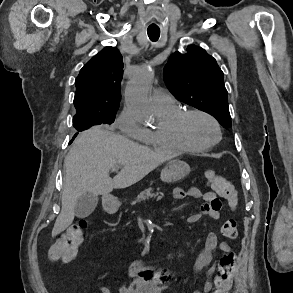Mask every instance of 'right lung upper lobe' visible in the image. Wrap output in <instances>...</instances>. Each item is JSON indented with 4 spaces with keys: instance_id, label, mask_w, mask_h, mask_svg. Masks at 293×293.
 <instances>
[{
    "instance_id": "obj_1",
    "label": "right lung upper lobe",
    "mask_w": 293,
    "mask_h": 293,
    "mask_svg": "<svg viewBox=\"0 0 293 293\" xmlns=\"http://www.w3.org/2000/svg\"><path fill=\"white\" fill-rule=\"evenodd\" d=\"M122 76V55L115 47H105L84 65L75 80V108L103 113L117 111Z\"/></svg>"
}]
</instances>
